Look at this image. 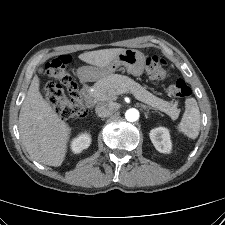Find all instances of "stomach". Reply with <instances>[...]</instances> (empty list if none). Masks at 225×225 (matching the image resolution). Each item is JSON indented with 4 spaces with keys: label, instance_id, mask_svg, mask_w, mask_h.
Wrapping results in <instances>:
<instances>
[{
    "label": "stomach",
    "instance_id": "stomach-1",
    "mask_svg": "<svg viewBox=\"0 0 225 225\" xmlns=\"http://www.w3.org/2000/svg\"><path fill=\"white\" fill-rule=\"evenodd\" d=\"M146 65V58L142 52L136 49H125L119 53L116 58L106 67H84L85 78L96 80L106 77L123 66L127 72L133 76L139 77L143 74Z\"/></svg>",
    "mask_w": 225,
    "mask_h": 225
}]
</instances>
